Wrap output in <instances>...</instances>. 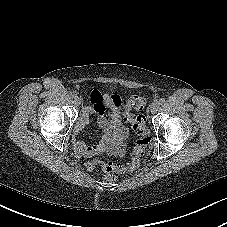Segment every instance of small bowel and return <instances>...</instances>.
Segmentation results:
<instances>
[{"label": "small bowel", "mask_w": 227, "mask_h": 227, "mask_svg": "<svg viewBox=\"0 0 227 227\" xmlns=\"http://www.w3.org/2000/svg\"><path fill=\"white\" fill-rule=\"evenodd\" d=\"M122 101L115 94H102L98 90L91 91L90 104L83 108L75 126V133L79 134L88 124L90 116L95 115L100 129V137L93 145L74 137L73 146L77 154L89 157L104 152L122 153L127 136V129L123 122Z\"/></svg>", "instance_id": "1"}]
</instances>
